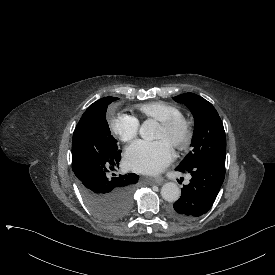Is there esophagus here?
I'll use <instances>...</instances> for the list:
<instances>
[{
	"label": "esophagus",
	"mask_w": 275,
	"mask_h": 275,
	"mask_svg": "<svg viewBox=\"0 0 275 275\" xmlns=\"http://www.w3.org/2000/svg\"><path fill=\"white\" fill-rule=\"evenodd\" d=\"M163 181H164V178L162 176H157L154 178V184L160 185L163 183Z\"/></svg>",
	"instance_id": "1"
}]
</instances>
